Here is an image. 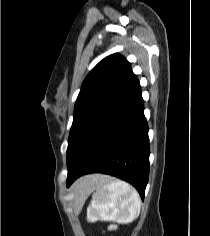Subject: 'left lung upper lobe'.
Instances as JSON below:
<instances>
[{
	"label": "left lung upper lobe",
	"instance_id": "obj_1",
	"mask_svg": "<svg viewBox=\"0 0 210 236\" xmlns=\"http://www.w3.org/2000/svg\"><path fill=\"white\" fill-rule=\"evenodd\" d=\"M136 79L130 63L119 54L104 58L93 68L76 100L67 153L84 128Z\"/></svg>",
	"mask_w": 210,
	"mask_h": 236
}]
</instances>
